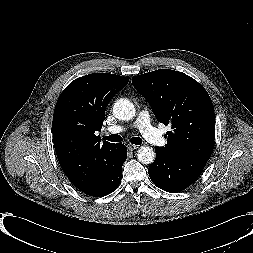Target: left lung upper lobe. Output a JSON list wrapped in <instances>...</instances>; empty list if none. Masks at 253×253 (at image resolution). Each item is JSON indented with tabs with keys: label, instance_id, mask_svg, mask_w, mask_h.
<instances>
[{
	"label": "left lung upper lobe",
	"instance_id": "obj_1",
	"mask_svg": "<svg viewBox=\"0 0 253 253\" xmlns=\"http://www.w3.org/2000/svg\"><path fill=\"white\" fill-rule=\"evenodd\" d=\"M133 86L152 107L156 119L171 126L164 136L173 155L209 160L215 139V114L207 91L190 76L159 69L133 77Z\"/></svg>",
	"mask_w": 253,
	"mask_h": 253
}]
</instances>
